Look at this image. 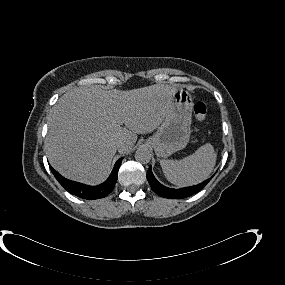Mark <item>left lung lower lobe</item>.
Returning <instances> with one entry per match:
<instances>
[{"instance_id":"obj_1","label":"left lung lower lobe","mask_w":285,"mask_h":285,"mask_svg":"<svg viewBox=\"0 0 285 285\" xmlns=\"http://www.w3.org/2000/svg\"><path fill=\"white\" fill-rule=\"evenodd\" d=\"M147 179L151 186V189L156 194H158L161 197L171 198V199H181V198L189 197L197 193L198 191H200L210 181V179H208L196 186L186 187L182 189L167 188L156 180V178L154 177L152 173L151 167H149V170L147 172Z\"/></svg>"}]
</instances>
